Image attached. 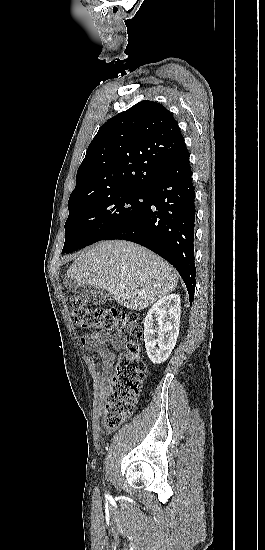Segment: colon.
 <instances>
[{
  "instance_id": "obj_1",
  "label": "colon",
  "mask_w": 265,
  "mask_h": 550,
  "mask_svg": "<svg viewBox=\"0 0 265 550\" xmlns=\"http://www.w3.org/2000/svg\"><path fill=\"white\" fill-rule=\"evenodd\" d=\"M70 306L74 321L83 329L115 334L127 332L135 338L142 335L138 315L134 312L92 308L77 297L70 299ZM145 373L140 347L131 341L113 364V374L104 399V422L107 427H119L132 415Z\"/></svg>"
}]
</instances>
